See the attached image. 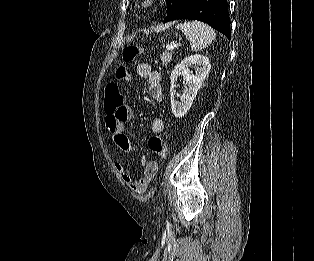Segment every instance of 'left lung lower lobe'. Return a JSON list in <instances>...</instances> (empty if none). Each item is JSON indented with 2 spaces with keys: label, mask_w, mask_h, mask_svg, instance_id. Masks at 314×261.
Listing matches in <instances>:
<instances>
[{
  "label": "left lung lower lobe",
  "mask_w": 314,
  "mask_h": 261,
  "mask_svg": "<svg viewBox=\"0 0 314 261\" xmlns=\"http://www.w3.org/2000/svg\"><path fill=\"white\" fill-rule=\"evenodd\" d=\"M179 19L205 22L228 39L231 37L227 0H184L169 21Z\"/></svg>",
  "instance_id": "0a47b994"
}]
</instances>
